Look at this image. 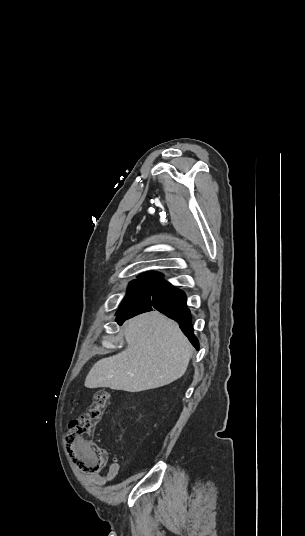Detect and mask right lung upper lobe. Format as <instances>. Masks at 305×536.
Returning <instances> with one entry per match:
<instances>
[{
    "mask_svg": "<svg viewBox=\"0 0 305 536\" xmlns=\"http://www.w3.org/2000/svg\"><path fill=\"white\" fill-rule=\"evenodd\" d=\"M139 278H162V275L157 272H147L139 275Z\"/></svg>",
    "mask_w": 305,
    "mask_h": 536,
    "instance_id": "1",
    "label": "right lung upper lobe"
}]
</instances>
